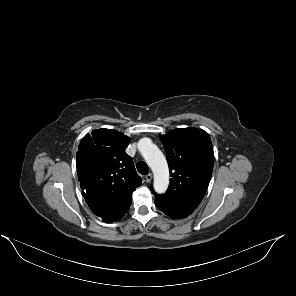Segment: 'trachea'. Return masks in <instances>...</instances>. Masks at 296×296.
I'll list each match as a JSON object with an SVG mask.
<instances>
[{
	"label": "trachea",
	"instance_id": "1",
	"mask_svg": "<svg viewBox=\"0 0 296 296\" xmlns=\"http://www.w3.org/2000/svg\"><path fill=\"white\" fill-rule=\"evenodd\" d=\"M136 167L137 170L143 175H147L149 173L148 165L143 161L138 162Z\"/></svg>",
	"mask_w": 296,
	"mask_h": 296
}]
</instances>
